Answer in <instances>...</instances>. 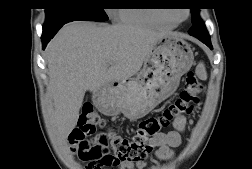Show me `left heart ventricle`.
Returning a JSON list of instances; mask_svg holds the SVG:
<instances>
[{
  "instance_id": "left-heart-ventricle-1",
  "label": "left heart ventricle",
  "mask_w": 252,
  "mask_h": 169,
  "mask_svg": "<svg viewBox=\"0 0 252 169\" xmlns=\"http://www.w3.org/2000/svg\"><path fill=\"white\" fill-rule=\"evenodd\" d=\"M171 16L176 20H181L186 17V11L184 9L171 11Z\"/></svg>"
}]
</instances>
